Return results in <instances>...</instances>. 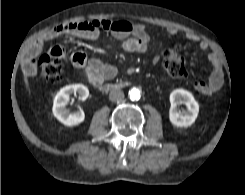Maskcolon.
<instances>
[{
	"instance_id": "colon-1",
	"label": "colon",
	"mask_w": 245,
	"mask_h": 195,
	"mask_svg": "<svg viewBox=\"0 0 245 195\" xmlns=\"http://www.w3.org/2000/svg\"><path fill=\"white\" fill-rule=\"evenodd\" d=\"M39 67L41 80L52 83L62 80L65 70L63 58L44 55L39 59ZM164 68L172 78H180L186 74V64L180 53L179 45L166 52Z\"/></svg>"
}]
</instances>
